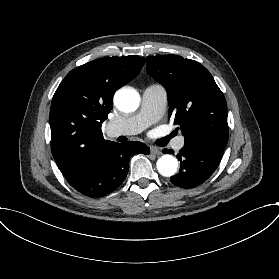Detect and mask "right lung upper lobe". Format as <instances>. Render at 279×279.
Wrapping results in <instances>:
<instances>
[{
  "instance_id": "right-lung-upper-lobe-1",
  "label": "right lung upper lobe",
  "mask_w": 279,
  "mask_h": 279,
  "mask_svg": "<svg viewBox=\"0 0 279 279\" xmlns=\"http://www.w3.org/2000/svg\"><path fill=\"white\" fill-rule=\"evenodd\" d=\"M144 57H105L70 71L57 88L50 108L51 150L71 183L94 168L107 147L101 125L113 106V95L134 79Z\"/></svg>"
}]
</instances>
